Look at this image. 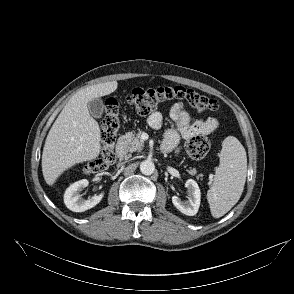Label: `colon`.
I'll return each mask as SVG.
<instances>
[{
    "label": "colon",
    "mask_w": 294,
    "mask_h": 294,
    "mask_svg": "<svg viewBox=\"0 0 294 294\" xmlns=\"http://www.w3.org/2000/svg\"><path fill=\"white\" fill-rule=\"evenodd\" d=\"M126 99L141 115H148L161 104L173 99L185 100L198 111H214L219 106L215 98L202 95L183 86L134 88ZM120 126L118 102L115 99H109L106 102L105 114L101 121L100 154L85 165L84 172L86 174L102 172L114 162V143ZM210 147L209 139L202 135L192 137L186 142V151L194 160L203 159L209 153Z\"/></svg>",
    "instance_id": "colon-1"
}]
</instances>
